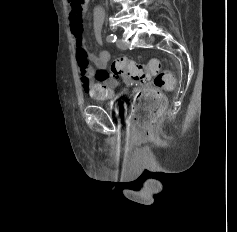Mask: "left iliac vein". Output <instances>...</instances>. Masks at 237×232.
<instances>
[{"label":"left iliac vein","mask_w":237,"mask_h":232,"mask_svg":"<svg viewBox=\"0 0 237 232\" xmlns=\"http://www.w3.org/2000/svg\"><path fill=\"white\" fill-rule=\"evenodd\" d=\"M116 44H117V47L121 50L127 49L126 44L121 39H118Z\"/></svg>","instance_id":"1"}]
</instances>
